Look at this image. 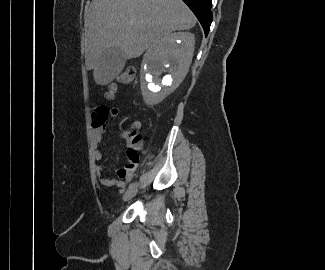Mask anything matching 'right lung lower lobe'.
Here are the masks:
<instances>
[{
  "label": "right lung lower lobe",
  "mask_w": 325,
  "mask_h": 270,
  "mask_svg": "<svg viewBox=\"0 0 325 270\" xmlns=\"http://www.w3.org/2000/svg\"><path fill=\"white\" fill-rule=\"evenodd\" d=\"M196 15L207 36L212 22V0H183Z\"/></svg>",
  "instance_id": "right-lung-lower-lobe-1"
}]
</instances>
